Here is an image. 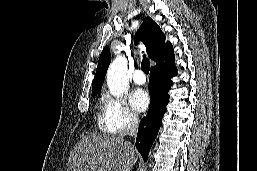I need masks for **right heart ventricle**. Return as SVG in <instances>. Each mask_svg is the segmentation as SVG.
<instances>
[{
	"label": "right heart ventricle",
	"mask_w": 257,
	"mask_h": 171,
	"mask_svg": "<svg viewBox=\"0 0 257 171\" xmlns=\"http://www.w3.org/2000/svg\"><path fill=\"white\" fill-rule=\"evenodd\" d=\"M98 127L101 131L104 132H113L107 125L102 113L98 116Z\"/></svg>",
	"instance_id": "obj_1"
}]
</instances>
